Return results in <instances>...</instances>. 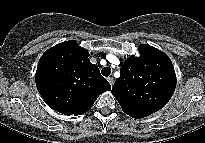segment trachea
Segmentation results:
<instances>
[{
  "mask_svg": "<svg viewBox=\"0 0 205 143\" xmlns=\"http://www.w3.org/2000/svg\"><path fill=\"white\" fill-rule=\"evenodd\" d=\"M102 75L107 77L111 74V69L109 67H104L101 71Z\"/></svg>",
  "mask_w": 205,
  "mask_h": 143,
  "instance_id": "trachea-1",
  "label": "trachea"
}]
</instances>
